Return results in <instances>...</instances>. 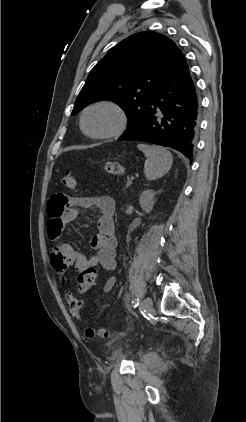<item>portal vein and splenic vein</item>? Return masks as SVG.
Masks as SVG:
<instances>
[{"label": "portal vein and splenic vein", "instance_id": "18ae733b", "mask_svg": "<svg viewBox=\"0 0 246 422\" xmlns=\"http://www.w3.org/2000/svg\"><path fill=\"white\" fill-rule=\"evenodd\" d=\"M134 179H135V177H134V176H131V177H130V180H131V181H132V180H134Z\"/></svg>", "mask_w": 246, "mask_h": 422}]
</instances>
